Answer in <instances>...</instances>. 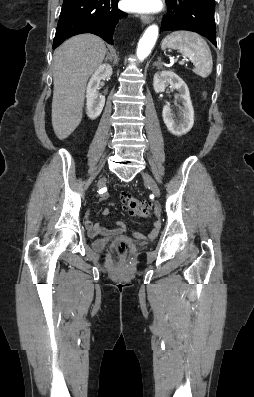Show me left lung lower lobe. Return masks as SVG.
Returning a JSON list of instances; mask_svg holds the SVG:
<instances>
[{
    "mask_svg": "<svg viewBox=\"0 0 254 397\" xmlns=\"http://www.w3.org/2000/svg\"><path fill=\"white\" fill-rule=\"evenodd\" d=\"M168 13L160 32L189 30L207 37L216 47L215 0H166Z\"/></svg>",
    "mask_w": 254,
    "mask_h": 397,
    "instance_id": "1",
    "label": "left lung lower lobe"
}]
</instances>
